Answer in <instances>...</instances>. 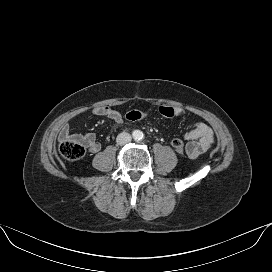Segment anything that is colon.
Masks as SVG:
<instances>
[{"label":"colon","mask_w":272,"mask_h":272,"mask_svg":"<svg viewBox=\"0 0 272 272\" xmlns=\"http://www.w3.org/2000/svg\"><path fill=\"white\" fill-rule=\"evenodd\" d=\"M159 113L165 118H172L175 116V108L171 106H160ZM149 117V113L143 110H130L126 113V119L131 122H138L145 120ZM172 146L178 154H182L184 151V143L180 139H174ZM59 152L61 156L67 160L75 161L80 159L85 153V147L73 140H66L59 145Z\"/></svg>","instance_id":"obj_1"}]
</instances>
